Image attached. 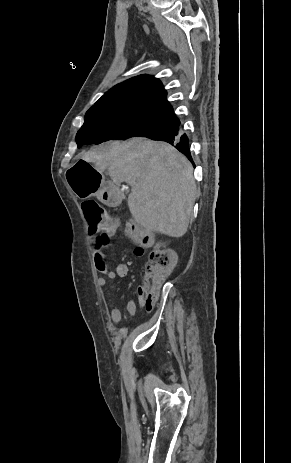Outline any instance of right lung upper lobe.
Returning a JSON list of instances; mask_svg holds the SVG:
<instances>
[{"instance_id":"cb5924a9","label":"right lung upper lobe","mask_w":291,"mask_h":463,"mask_svg":"<svg viewBox=\"0 0 291 463\" xmlns=\"http://www.w3.org/2000/svg\"><path fill=\"white\" fill-rule=\"evenodd\" d=\"M166 96L159 79L151 75H140L111 88L90 109L142 114L163 120L176 119Z\"/></svg>"}]
</instances>
